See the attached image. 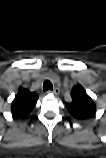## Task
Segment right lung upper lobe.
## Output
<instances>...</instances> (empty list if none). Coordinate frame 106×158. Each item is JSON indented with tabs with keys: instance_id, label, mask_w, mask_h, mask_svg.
I'll list each match as a JSON object with an SVG mask.
<instances>
[{
	"instance_id": "1",
	"label": "right lung upper lobe",
	"mask_w": 106,
	"mask_h": 158,
	"mask_svg": "<svg viewBox=\"0 0 106 158\" xmlns=\"http://www.w3.org/2000/svg\"><path fill=\"white\" fill-rule=\"evenodd\" d=\"M38 99V95L27 89L19 88L18 94L15 96L11 104V111L15 118H25L34 108Z\"/></svg>"
}]
</instances>
